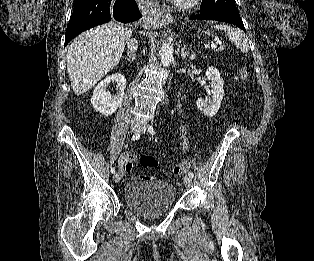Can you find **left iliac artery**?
Returning <instances> with one entry per match:
<instances>
[{
  "mask_svg": "<svg viewBox=\"0 0 314 261\" xmlns=\"http://www.w3.org/2000/svg\"><path fill=\"white\" fill-rule=\"evenodd\" d=\"M148 132H149L151 135H154V134H155V131H154V129H153V127H152L151 125H149V127H148ZM188 175H189L191 178L194 177V174H193L191 171L188 173Z\"/></svg>",
  "mask_w": 314,
  "mask_h": 261,
  "instance_id": "44dca946",
  "label": "left iliac artery"
}]
</instances>
